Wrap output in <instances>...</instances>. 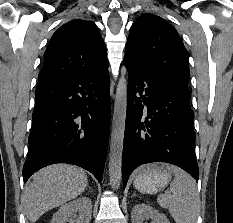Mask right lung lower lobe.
Here are the masks:
<instances>
[{
  "label": "right lung lower lobe",
  "mask_w": 233,
  "mask_h": 223,
  "mask_svg": "<svg viewBox=\"0 0 233 223\" xmlns=\"http://www.w3.org/2000/svg\"><path fill=\"white\" fill-rule=\"evenodd\" d=\"M23 167L24 182L54 163L80 166L102 180L110 126L108 67L40 84Z\"/></svg>",
  "instance_id": "98d812e1"
}]
</instances>
